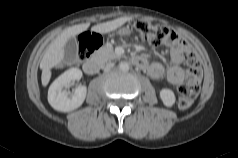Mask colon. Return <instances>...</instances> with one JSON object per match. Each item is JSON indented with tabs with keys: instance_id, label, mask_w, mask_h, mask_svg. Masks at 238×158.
Instances as JSON below:
<instances>
[{
	"instance_id": "5ec220e1",
	"label": "colon",
	"mask_w": 238,
	"mask_h": 158,
	"mask_svg": "<svg viewBox=\"0 0 238 158\" xmlns=\"http://www.w3.org/2000/svg\"><path fill=\"white\" fill-rule=\"evenodd\" d=\"M130 25L152 46H159L174 36V33L166 26L154 24L149 21H131ZM101 44L102 38L99 35H81L79 39V58L84 59L88 57ZM185 64L188 68V80L178 88V105L182 109L189 108L193 104L199 94L202 79V69L199 58L194 51L189 49L186 53Z\"/></svg>"
}]
</instances>
